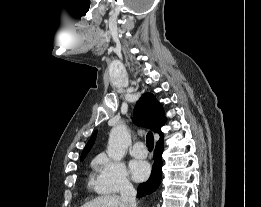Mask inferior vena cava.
I'll return each instance as SVG.
<instances>
[{"mask_svg":"<svg viewBox=\"0 0 261 207\" xmlns=\"http://www.w3.org/2000/svg\"><path fill=\"white\" fill-rule=\"evenodd\" d=\"M120 195L122 200L129 203V207H137L136 190L129 181L124 182Z\"/></svg>","mask_w":261,"mask_h":207,"instance_id":"obj_1","label":"inferior vena cava"}]
</instances>
